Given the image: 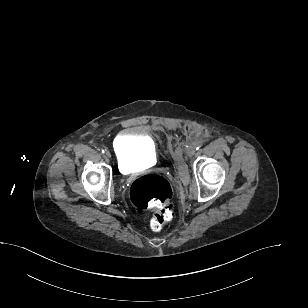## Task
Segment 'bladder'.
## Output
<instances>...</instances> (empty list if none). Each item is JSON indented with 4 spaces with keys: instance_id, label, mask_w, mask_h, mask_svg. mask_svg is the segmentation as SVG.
Here are the masks:
<instances>
[{
    "instance_id": "1",
    "label": "bladder",
    "mask_w": 308,
    "mask_h": 308,
    "mask_svg": "<svg viewBox=\"0 0 308 308\" xmlns=\"http://www.w3.org/2000/svg\"><path fill=\"white\" fill-rule=\"evenodd\" d=\"M113 151L119 167L123 170L157 161L154 140L139 127H131L122 131L114 140Z\"/></svg>"
}]
</instances>
